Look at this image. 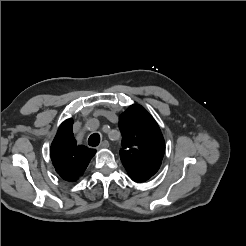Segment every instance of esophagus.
<instances>
[{
	"instance_id": "esophagus-1",
	"label": "esophagus",
	"mask_w": 246,
	"mask_h": 246,
	"mask_svg": "<svg viewBox=\"0 0 246 246\" xmlns=\"http://www.w3.org/2000/svg\"><path fill=\"white\" fill-rule=\"evenodd\" d=\"M109 142L107 140H104L100 143L99 148H108Z\"/></svg>"
}]
</instances>
